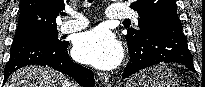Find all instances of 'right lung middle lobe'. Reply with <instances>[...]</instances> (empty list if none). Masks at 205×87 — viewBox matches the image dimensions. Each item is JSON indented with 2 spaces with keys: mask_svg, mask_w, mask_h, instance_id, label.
<instances>
[{
  "mask_svg": "<svg viewBox=\"0 0 205 87\" xmlns=\"http://www.w3.org/2000/svg\"><path fill=\"white\" fill-rule=\"evenodd\" d=\"M27 39H41L54 44L62 43V41H60L58 38L57 28L21 32V33H16L14 36V41L27 40Z\"/></svg>",
  "mask_w": 205,
  "mask_h": 87,
  "instance_id": "right-lung-middle-lobe-1",
  "label": "right lung middle lobe"
}]
</instances>
